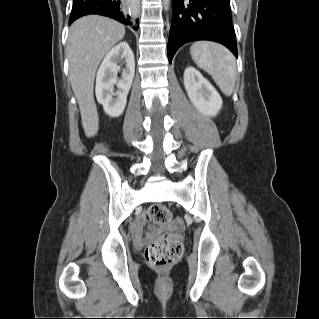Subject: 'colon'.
Here are the masks:
<instances>
[{"mask_svg": "<svg viewBox=\"0 0 319 319\" xmlns=\"http://www.w3.org/2000/svg\"><path fill=\"white\" fill-rule=\"evenodd\" d=\"M147 216L150 220L158 223H168L172 219L169 208L161 204L152 206L148 210ZM183 250V241L179 235L165 234L145 248L144 258L151 267H169L180 259Z\"/></svg>", "mask_w": 319, "mask_h": 319, "instance_id": "obj_1", "label": "colon"}]
</instances>
